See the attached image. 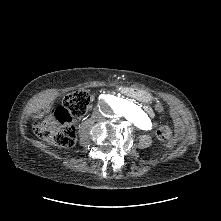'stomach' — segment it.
I'll return each instance as SVG.
<instances>
[{
  "instance_id": "0dacf381",
  "label": "stomach",
  "mask_w": 221,
  "mask_h": 221,
  "mask_svg": "<svg viewBox=\"0 0 221 221\" xmlns=\"http://www.w3.org/2000/svg\"><path fill=\"white\" fill-rule=\"evenodd\" d=\"M133 93H134V95L139 96V97H149V95L147 93L141 92L139 90L134 91Z\"/></svg>"
}]
</instances>
